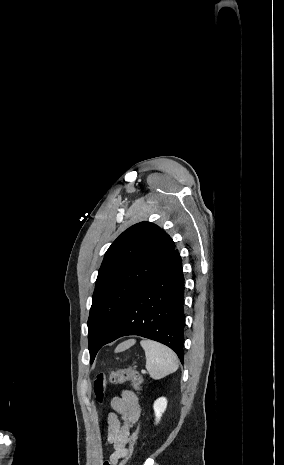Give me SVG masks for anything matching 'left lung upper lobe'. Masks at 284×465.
Returning <instances> with one entry per match:
<instances>
[{"mask_svg": "<svg viewBox=\"0 0 284 465\" xmlns=\"http://www.w3.org/2000/svg\"><path fill=\"white\" fill-rule=\"evenodd\" d=\"M174 249L171 237L149 222L131 226L108 248L98 272L87 322L91 363L129 301Z\"/></svg>", "mask_w": 284, "mask_h": 465, "instance_id": "5c2ea615", "label": "left lung upper lobe"}]
</instances>
